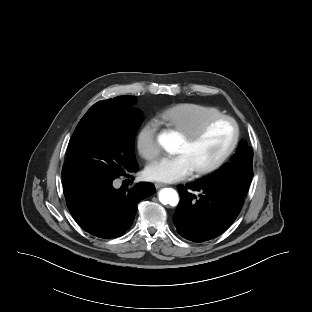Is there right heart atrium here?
<instances>
[{
  "label": "right heart atrium",
  "mask_w": 312,
  "mask_h": 312,
  "mask_svg": "<svg viewBox=\"0 0 312 312\" xmlns=\"http://www.w3.org/2000/svg\"><path fill=\"white\" fill-rule=\"evenodd\" d=\"M158 128V120L151 118L142 125L138 132L137 148L146 160H153L160 154L161 147L157 137Z\"/></svg>",
  "instance_id": "right-heart-atrium-1"
}]
</instances>
